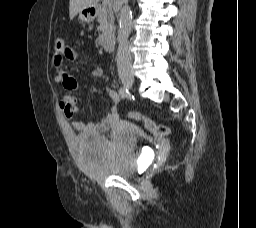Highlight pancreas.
<instances>
[{
    "mask_svg": "<svg viewBox=\"0 0 256 228\" xmlns=\"http://www.w3.org/2000/svg\"><path fill=\"white\" fill-rule=\"evenodd\" d=\"M110 1L103 2L97 19L99 22L98 31H101L104 34L111 32L113 29L114 16L112 12V4Z\"/></svg>",
    "mask_w": 256,
    "mask_h": 228,
    "instance_id": "pancreas-1",
    "label": "pancreas"
}]
</instances>
